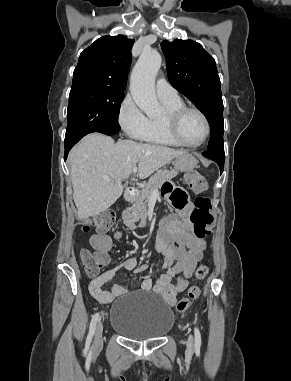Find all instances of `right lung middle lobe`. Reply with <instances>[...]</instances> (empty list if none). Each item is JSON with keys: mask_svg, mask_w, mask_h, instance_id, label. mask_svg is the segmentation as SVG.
<instances>
[{"mask_svg": "<svg viewBox=\"0 0 291 381\" xmlns=\"http://www.w3.org/2000/svg\"><path fill=\"white\" fill-rule=\"evenodd\" d=\"M123 91L106 87H72L65 142L78 141L88 133L119 126L118 114L124 98Z\"/></svg>", "mask_w": 291, "mask_h": 381, "instance_id": "obj_1", "label": "right lung middle lobe"}]
</instances>
